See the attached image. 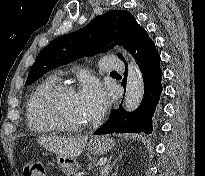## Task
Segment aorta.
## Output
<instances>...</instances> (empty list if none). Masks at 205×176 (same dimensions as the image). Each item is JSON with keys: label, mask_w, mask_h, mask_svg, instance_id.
I'll list each match as a JSON object with an SVG mask.
<instances>
[{"label": "aorta", "mask_w": 205, "mask_h": 176, "mask_svg": "<svg viewBox=\"0 0 205 176\" xmlns=\"http://www.w3.org/2000/svg\"><path fill=\"white\" fill-rule=\"evenodd\" d=\"M128 61L124 107L127 111H133L139 106L142 100L144 83L141 71L139 70L134 59L129 56Z\"/></svg>", "instance_id": "762f6f07"}]
</instances>
